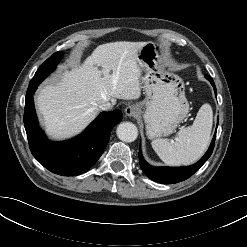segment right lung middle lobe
I'll return each mask as SVG.
<instances>
[{
    "mask_svg": "<svg viewBox=\"0 0 247 247\" xmlns=\"http://www.w3.org/2000/svg\"><path fill=\"white\" fill-rule=\"evenodd\" d=\"M63 56V52L59 51L49 57L36 71L35 76L32 78V83L42 82L51 73Z\"/></svg>",
    "mask_w": 247,
    "mask_h": 247,
    "instance_id": "1",
    "label": "right lung middle lobe"
}]
</instances>
